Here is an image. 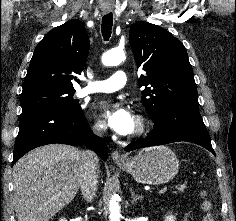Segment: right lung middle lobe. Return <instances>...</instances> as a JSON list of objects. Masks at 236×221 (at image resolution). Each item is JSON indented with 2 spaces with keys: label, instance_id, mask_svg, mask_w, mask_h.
<instances>
[{
  "label": "right lung middle lobe",
  "instance_id": "1",
  "mask_svg": "<svg viewBox=\"0 0 236 221\" xmlns=\"http://www.w3.org/2000/svg\"><path fill=\"white\" fill-rule=\"evenodd\" d=\"M74 90L53 88L39 89L21 94L22 112L37 107H53L68 111H80L78 101L73 100Z\"/></svg>",
  "mask_w": 236,
  "mask_h": 221
}]
</instances>
